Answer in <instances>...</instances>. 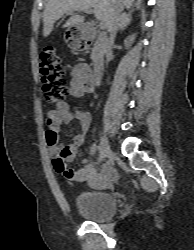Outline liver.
Returning <instances> with one entry per match:
<instances>
[{
    "label": "liver",
    "instance_id": "6515ba94",
    "mask_svg": "<svg viewBox=\"0 0 194 250\" xmlns=\"http://www.w3.org/2000/svg\"><path fill=\"white\" fill-rule=\"evenodd\" d=\"M133 0H48L43 12V35L47 37L53 30L54 23L67 11H84L85 9H94L96 17H100L108 30L112 24L116 23V30L126 27L131 18L126 13H121L124 9L130 8ZM84 22V17L74 15L70 17L63 25L71 27L80 25Z\"/></svg>",
    "mask_w": 194,
    "mask_h": 250
}]
</instances>
